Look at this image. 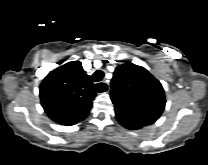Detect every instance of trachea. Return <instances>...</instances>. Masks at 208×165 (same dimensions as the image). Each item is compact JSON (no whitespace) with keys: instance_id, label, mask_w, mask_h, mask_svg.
<instances>
[{"instance_id":"1","label":"trachea","mask_w":208,"mask_h":165,"mask_svg":"<svg viewBox=\"0 0 208 165\" xmlns=\"http://www.w3.org/2000/svg\"><path fill=\"white\" fill-rule=\"evenodd\" d=\"M103 77H104V73H103V71H101V70H97V71L94 72V74H93V80L96 81V82L101 81V80L103 79ZM95 90H96L97 92H104V91H106V87H104V86H102V85H100V84H96V85H95Z\"/></svg>"}]
</instances>
